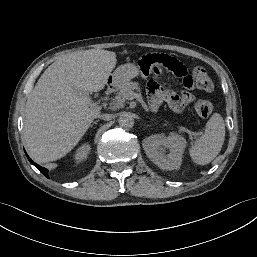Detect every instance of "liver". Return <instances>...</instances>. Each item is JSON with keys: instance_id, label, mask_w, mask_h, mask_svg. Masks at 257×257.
<instances>
[{"instance_id": "obj_1", "label": "liver", "mask_w": 257, "mask_h": 257, "mask_svg": "<svg viewBox=\"0 0 257 257\" xmlns=\"http://www.w3.org/2000/svg\"><path fill=\"white\" fill-rule=\"evenodd\" d=\"M116 65L114 52L77 51L52 63L26 102L24 139L39 163L58 160L83 137L101 107L87 92H98Z\"/></svg>"}]
</instances>
